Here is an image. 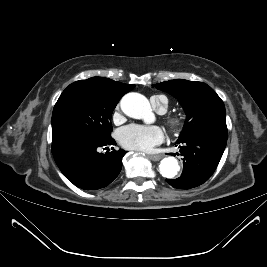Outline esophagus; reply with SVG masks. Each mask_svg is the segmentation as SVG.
Returning a JSON list of instances; mask_svg holds the SVG:
<instances>
[{"mask_svg":"<svg viewBox=\"0 0 267 267\" xmlns=\"http://www.w3.org/2000/svg\"><path fill=\"white\" fill-rule=\"evenodd\" d=\"M150 159L153 161H159L163 155L162 154H156V155H149Z\"/></svg>","mask_w":267,"mask_h":267,"instance_id":"esophagus-1","label":"esophagus"}]
</instances>
